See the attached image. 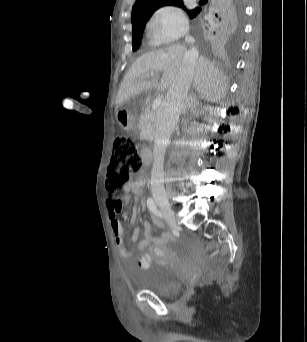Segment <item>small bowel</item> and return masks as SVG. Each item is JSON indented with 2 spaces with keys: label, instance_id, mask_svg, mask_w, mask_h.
I'll list each match as a JSON object with an SVG mask.
<instances>
[{
  "label": "small bowel",
  "instance_id": "1",
  "mask_svg": "<svg viewBox=\"0 0 307 342\" xmlns=\"http://www.w3.org/2000/svg\"><path fill=\"white\" fill-rule=\"evenodd\" d=\"M146 180L145 177L143 176V173H140V175L133 181H131L127 187L126 191L129 195H137L141 193V189L144 186ZM108 211H109V218H110V226L111 230L114 236V241L117 246V250L119 255L122 258L125 259H130L132 257V251L128 247L125 236H124V228L121 220L116 216L117 212L114 206H108ZM131 221L134 222L136 220V208H133V213L131 216ZM153 221L154 224L158 228H162L163 225L160 222V220L156 217L153 216ZM143 226H144V240L138 241V235L140 232L139 228H136L134 230V233L132 235V242L137 244V247L139 250H144L146 248H151L153 253H156L158 250L163 248L167 242L170 240V236L167 233L162 234L159 237H153L151 235V228L149 224L143 220L142 221ZM150 256L145 255L141 257L139 260V265L142 268H147L149 264Z\"/></svg>",
  "mask_w": 307,
  "mask_h": 342
}]
</instances>
